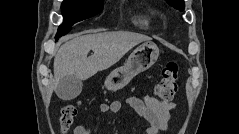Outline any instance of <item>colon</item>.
<instances>
[{
    "instance_id": "colon-1",
    "label": "colon",
    "mask_w": 239,
    "mask_h": 134,
    "mask_svg": "<svg viewBox=\"0 0 239 134\" xmlns=\"http://www.w3.org/2000/svg\"><path fill=\"white\" fill-rule=\"evenodd\" d=\"M179 67L176 63H168L161 72V77L156 85V94L163 100H170L178 90ZM79 110V103L65 105L60 114V126L66 132L72 125Z\"/></svg>"
}]
</instances>
